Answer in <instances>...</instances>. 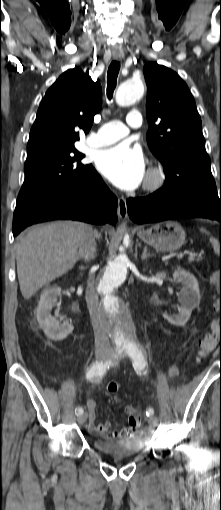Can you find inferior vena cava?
<instances>
[{"instance_id": "inferior-vena-cava-1", "label": "inferior vena cava", "mask_w": 221, "mask_h": 510, "mask_svg": "<svg viewBox=\"0 0 221 510\" xmlns=\"http://www.w3.org/2000/svg\"><path fill=\"white\" fill-rule=\"evenodd\" d=\"M97 232L90 230L83 244L80 246L77 253L78 258H83L85 261H89L95 257L96 254V243L95 237ZM86 300L91 317V322L95 336V350L96 352H109L111 350L109 338L106 333V326L102 319L101 310L99 307V299L95 287V280L91 276L88 280L86 289Z\"/></svg>"}]
</instances>
